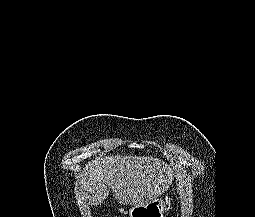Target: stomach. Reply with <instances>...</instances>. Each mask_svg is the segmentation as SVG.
Masks as SVG:
<instances>
[{
	"mask_svg": "<svg viewBox=\"0 0 255 217\" xmlns=\"http://www.w3.org/2000/svg\"><path fill=\"white\" fill-rule=\"evenodd\" d=\"M170 204L168 199H156L143 206H133L128 210L129 217H167Z\"/></svg>",
	"mask_w": 255,
	"mask_h": 217,
	"instance_id": "1",
	"label": "stomach"
}]
</instances>
